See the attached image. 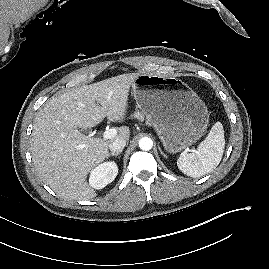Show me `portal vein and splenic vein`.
<instances>
[{
	"mask_svg": "<svg viewBox=\"0 0 269 269\" xmlns=\"http://www.w3.org/2000/svg\"><path fill=\"white\" fill-rule=\"evenodd\" d=\"M116 135L117 130L115 128L107 129L105 132H103L104 139H111L114 138Z\"/></svg>",
	"mask_w": 269,
	"mask_h": 269,
	"instance_id": "1",
	"label": "portal vein and splenic vein"
}]
</instances>
